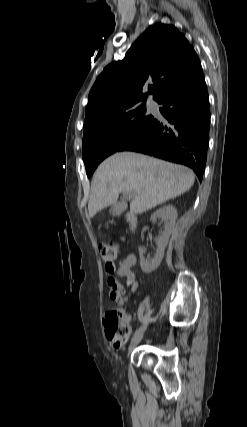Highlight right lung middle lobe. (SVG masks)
Returning a JSON list of instances; mask_svg holds the SVG:
<instances>
[{
  "mask_svg": "<svg viewBox=\"0 0 247 427\" xmlns=\"http://www.w3.org/2000/svg\"><path fill=\"white\" fill-rule=\"evenodd\" d=\"M152 119L153 116L146 113V105L141 104L84 129L82 157L87 176L93 174L102 160L137 137Z\"/></svg>",
  "mask_w": 247,
  "mask_h": 427,
  "instance_id": "1",
  "label": "right lung middle lobe"
}]
</instances>
